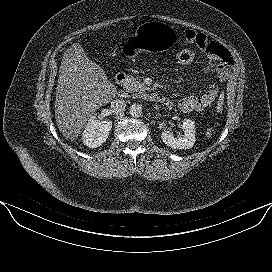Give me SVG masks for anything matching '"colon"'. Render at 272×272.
Returning <instances> with one entry per match:
<instances>
[{
  "instance_id": "1",
  "label": "colon",
  "mask_w": 272,
  "mask_h": 272,
  "mask_svg": "<svg viewBox=\"0 0 272 272\" xmlns=\"http://www.w3.org/2000/svg\"><path fill=\"white\" fill-rule=\"evenodd\" d=\"M175 60L180 64L191 63L194 59V52L191 49H179L174 54ZM215 109L217 112H222L224 109V94L222 93L216 103Z\"/></svg>"
}]
</instances>
